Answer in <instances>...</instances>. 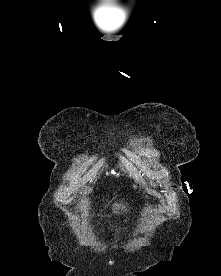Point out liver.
Returning <instances> with one entry per match:
<instances>
[{"label":"liver","mask_w":221,"mask_h":276,"mask_svg":"<svg viewBox=\"0 0 221 276\" xmlns=\"http://www.w3.org/2000/svg\"><path fill=\"white\" fill-rule=\"evenodd\" d=\"M120 207H121V204H117V203H116V204L114 205V209H113L114 213H117V210H119ZM121 208L124 209L125 206L122 205Z\"/></svg>","instance_id":"1"}]
</instances>
